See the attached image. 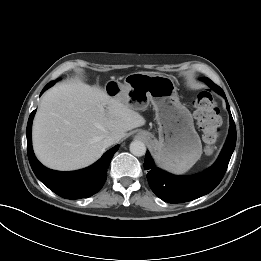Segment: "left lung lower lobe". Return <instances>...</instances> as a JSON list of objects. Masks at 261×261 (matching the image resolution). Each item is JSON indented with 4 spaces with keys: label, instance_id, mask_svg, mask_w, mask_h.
Listing matches in <instances>:
<instances>
[{
    "label": "left lung lower lobe",
    "instance_id": "left-lung-lower-lobe-1",
    "mask_svg": "<svg viewBox=\"0 0 261 261\" xmlns=\"http://www.w3.org/2000/svg\"><path fill=\"white\" fill-rule=\"evenodd\" d=\"M201 80L226 99L223 90L210 79L203 77ZM226 106L230 116L228 138L217 161L204 172L187 177L174 176L157 168L147 151L144 169L148 170L147 180L151 189L160 199L168 203L191 201L208 194L220 183L236 145V127L227 99Z\"/></svg>",
    "mask_w": 261,
    "mask_h": 261
}]
</instances>
